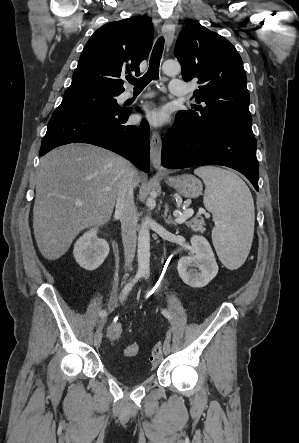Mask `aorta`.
<instances>
[{
  "label": "aorta",
  "mask_w": 299,
  "mask_h": 443,
  "mask_svg": "<svg viewBox=\"0 0 299 443\" xmlns=\"http://www.w3.org/2000/svg\"><path fill=\"white\" fill-rule=\"evenodd\" d=\"M162 71L167 76H176L181 71L179 62L167 60L162 65ZM156 205L153 197H149L146 201L147 211L150 212ZM138 272L142 274H149L150 271V231L149 221L145 220L141 223L138 234Z\"/></svg>",
  "instance_id": "762f6f07"
}]
</instances>
